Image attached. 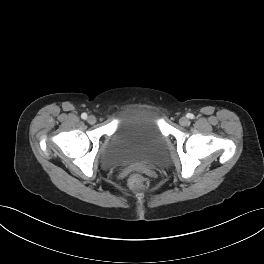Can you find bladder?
Masks as SVG:
<instances>
[{"label":"bladder","instance_id":"31cf9c89","mask_svg":"<svg viewBox=\"0 0 264 264\" xmlns=\"http://www.w3.org/2000/svg\"><path fill=\"white\" fill-rule=\"evenodd\" d=\"M167 155V140L159 116L152 108H138L116 125L108 144L99 155L105 169L130 165L154 166Z\"/></svg>","mask_w":264,"mask_h":264}]
</instances>
